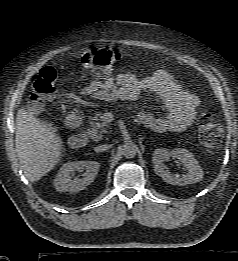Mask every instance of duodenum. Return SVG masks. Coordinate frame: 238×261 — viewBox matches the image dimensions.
<instances>
[{"label": "duodenum", "mask_w": 238, "mask_h": 261, "mask_svg": "<svg viewBox=\"0 0 238 261\" xmlns=\"http://www.w3.org/2000/svg\"><path fill=\"white\" fill-rule=\"evenodd\" d=\"M68 123L71 127L78 128L79 131L69 138V145L73 148H80L87 144L88 135L85 131L81 130L82 119L79 115L74 114L68 118Z\"/></svg>", "instance_id": "1"}]
</instances>
